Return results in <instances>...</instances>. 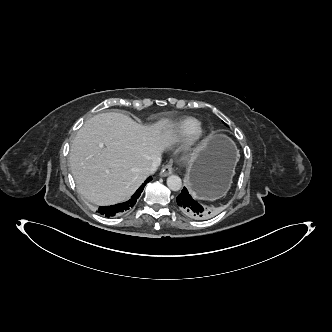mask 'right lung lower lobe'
<instances>
[{
  "mask_svg": "<svg viewBox=\"0 0 332 332\" xmlns=\"http://www.w3.org/2000/svg\"><path fill=\"white\" fill-rule=\"evenodd\" d=\"M151 180H152V177H148L146 179V181L134 193V195L131 197V199L128 200L127 202L116 204V205H112V206L99 207L98 212L101 215H105L106 217H110V216H114V215H116L118 213H122L124 211L129 210L130 208H132L135 205L137 199L140 197L141 192L143 191V188Z\"/></svg>",
  "mask_w": 332,
  "mask_h": 332,
  "instance_id": "obj_1",
  "label": "right lung lower lobe"
}]
</instances>
